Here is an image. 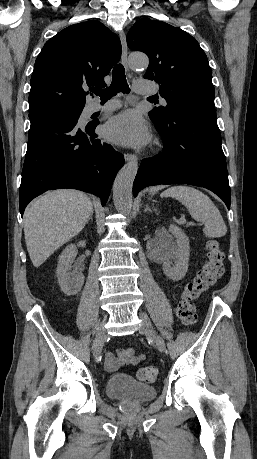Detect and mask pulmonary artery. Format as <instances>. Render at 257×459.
I'll use <instances>...</instances> for the list:
<instances>
[{
	"mask_svg": "<svg viewBox=\"0 0 257 459\" xmlns=\"http://www.w3.org/2000/svg\"><path fill=\"white\" fill-rule=\"evenodd\" d=\"M147 82L144 80H136L134 85H135V91L139 94H152L155 92V89L150 87V86H142V84H146ZM162 103L165 104L166 101L165 99H161ZM120 106L119 101H111L108 102L104 105H100L99 103L93 102L90 103L88 106V113H94L97 111H110L113 109H116Z\"/></svg>",
	"mask_w": 257,
	"mask_h": 459,
	"instance_id": "pulmonary-artery-1",
	"label": "pulmonary artery"
}]
</instances>
